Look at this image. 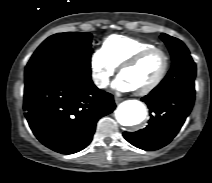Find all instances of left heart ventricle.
I'll return each mask as SVG.
<instances>
[{
  "label": "left heart ventricle",
  "mask_w": 212,
  "mask_h": 183,
  "mask_svg": "<svg viewBox=\"0 0 212 183\" xmlns=\"http://www.w3.org/2000/svg\"><path fill=\"white\" fill-rule=\"evenodd\" d=\"M163 63V55L160 52H155L136 66L125 70L121 76L127 81L132 89H141L157 78L162 70Z\"/></svg>",
  "instance_id": "b2bd125f"
}]
</instances>
